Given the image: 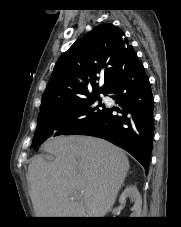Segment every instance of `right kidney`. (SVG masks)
I'll use <instances>...</instances> for the list:
<instances>
[{
	"label": "right kidney",
	"mask_w": 181,
	"mask_h": 227,
	"mask_svg": "<svg viewBox=\"0 0 181 227\" xmlns=\"http://www.w3.org/2000/svg\"><path fill=\"white\" fill-rule=\"evenodd\" d=\"M130 198L131 202L134 203L132 210V214L130 217H140L141 209H142V198L137 190L136 186L129 185L125 188V190L122 192L119 203L123 206L126 203V199Z\"/></svg>",
	"instance_id": "obj_1"
}]
</instances>
